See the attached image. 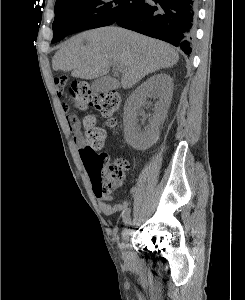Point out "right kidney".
<instances>
[{
	"label": "right kidney",
	"mask_w": 245,
	"mask_h": 300,
	"mask_svg": "<svg viewBox=\"0 0 245 300\" xmlns=\"http://www.w3.org/2000/svg\"><path fill=\"white\" fill-rule=\"evenodd\" d=\"M173 94L172 78L165 74H155L128 97L124 106V136L127 143L136 150H146L159 138V126L164 122ZM156 97L154 115L149 125L141 128L138 115L147 99Z\"/></svg>",
	"instance_id": "1"
}]
</instances>
